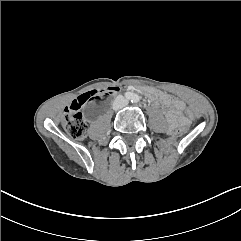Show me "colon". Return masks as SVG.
Instances as JSON below:
<instances>
[{
  "label": "colon",
  "instance_id": "colon-1",
  "mask_svg": "<svg viewBox=\"0 0 241 241\" xmlns=\"http://www.w3.org/2000/svg\"><path fill=\"white\" fill-rule=\"evenodd\" d=\"M113 90H116V87H109L103 90H93L86 92L78 97V99L72 104L70 108L65 111L62 126L64 130L73 138V139H83L87 134V124L83 118L82 113L80 112V107L87 101L111 93ZM161 93V92H158ZM164 94V93H162ZM166 95V94H165ZM188 116L191 117L192 114L188 113ZM172 132L174 136L182 135V127L179 125H174L172 127Z\"/></svg>",
  "mask_w": 241,
  "mask_h": 241
}]
</instances>
